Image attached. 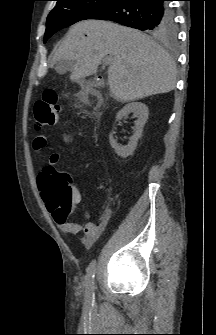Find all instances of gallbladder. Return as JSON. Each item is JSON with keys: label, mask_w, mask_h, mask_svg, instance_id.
I'll use <instances>...</instances> for the list:
<instances>
[{"label": "gallbladder", "mask_w": 216, "mask_h": 335, "mask_svg": "<svg viewBox=\"0 0 216 335\" xmlns=\"http://www.w3.org/2000/svg\"><path fill=\"white\" fill-rule=\"evenodd\" d=\"M67 69V67L65 66L64 68H63V70H66Z\"/></svg>", "instance_id": "bac80fb5"}]
</instances>
